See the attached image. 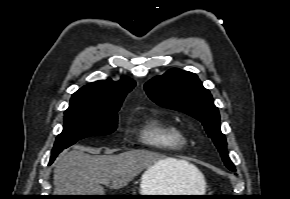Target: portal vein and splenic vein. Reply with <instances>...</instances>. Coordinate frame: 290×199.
I'll list each match as a JSON object with an SVG mask.
<instances>
[{
  "instance_id": "obj_1",
  "label": "portal vein and splenic vein",
  "mask_w": 290,
  "mask_h": 199,
  "mask_svg": "<svg viewBox=\"0 0 290 199\" xmlns=\"http://www.w3.org/2000/svg\"><path fill=\"white\" fill-rule=\"evenodd\" d=\"M108 183H109L108 181L103 182V184H105V185H107Z\"/></svg>"
}]
</instances>
